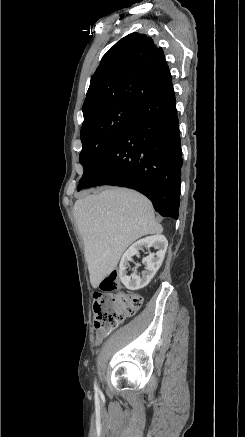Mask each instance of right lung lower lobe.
Instances as JSON below:
<instances>
[{"instance_id": "98d812e1", "label": "right lung lower lobe", "mask_w": 245, "mask_h": 437, "mask_svg": "<svg viewBox=\"0 0 245 437\" xmlns=\"http://www.w3.org/2000/svg\"><path fill=\"white\" fill-rule=\"evenodd\" d=\"M182 150L175 93L144 101L111 151L78 190L97 185L135 189L163 217L178 218Z\"/></svg>"}]
</instances>
